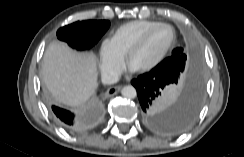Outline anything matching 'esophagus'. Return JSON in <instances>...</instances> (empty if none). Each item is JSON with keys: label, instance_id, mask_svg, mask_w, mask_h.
Listing matches in <instances>:
<instances>
[{"label": "esophagus", "instance_id": "1", "mask_svg": "<svg viewBox=\"0 0 244 157\" xmlns=\"http://www.w3.org/2000/svg\"><path fill=\"white\" fill-rule=\"evenodd\" d=\"M122 86H113L110 87L107 91H106V96L107 97H111L116 95L120 90H121Z\"/></svg>", "mask_w": 244, "mask_h": 157}]
</instances>
